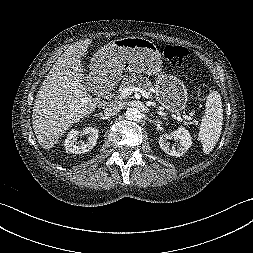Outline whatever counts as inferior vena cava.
I'll return each mask as SVG.
<instances>
[{
    "instance_id": "1",
    "label": "inferior vena cava",
    "mask_w": 253,
    "mask_h": 253,
    "mask_svg": "<svg viewBox=\"0 0 253 253\" xmlns=\"http://www.w3.org/2000/svg\"><path fill=\"white\" fill-rule=\"evenodd\" d=\"M121 109H123V104L120 101L109 102L103 107L106 116H114L118 114Z\"/></svg>"
}]
</instances>
